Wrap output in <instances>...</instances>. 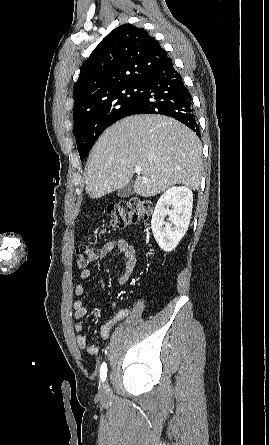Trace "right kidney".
Returning a JSON list of instances; mask_svg holds the SVG:
<instances>
[{"label": "right kidney", "instance_id": "1", "mask_svg": "<svg viewBox=\"0 0 269 445\" xmlns=\"http://www.w3.org/2000/svg\"><path fill=\"white\" fill-rule=\"evenodd\" d=\"M192 206L193 193L184 186H173L159 198L152 215L151 228L162 250H173L183 238L190 223ZM166 216H169L170 223L165 222Z\"/></svg>", "mask_w": 269, "mask_h": 445}]
</instances>
